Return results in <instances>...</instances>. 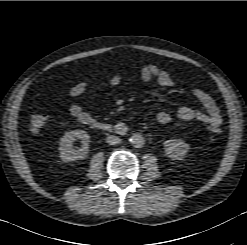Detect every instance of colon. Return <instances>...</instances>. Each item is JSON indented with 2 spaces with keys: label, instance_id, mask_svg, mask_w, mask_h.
I'll list each match as a JSON object with an SVG mask.
<instances>
[{
  "label": "colon",
  "instance_id": "5ec220e1",
  "mask_svg": "<svg viewBox=\"0 0 247 245\" xmlns=\"http://www.w3.org/2000/svg\"><path fill=\"white\" fill-rule=\"evenodd\" d=\"M106 78H99L93 81L84 82L85 86L88 88L90 86H99V85H105L106 84ZM46 123V116L39 113H34L31 115L28 129L31 133H38L45 125ZM207 128L212 133H220L219 127H212L207 125Z\"/></svg>",
  "mask_w": 247,
  "mask_h": 245
}]
</instances>
